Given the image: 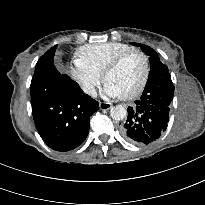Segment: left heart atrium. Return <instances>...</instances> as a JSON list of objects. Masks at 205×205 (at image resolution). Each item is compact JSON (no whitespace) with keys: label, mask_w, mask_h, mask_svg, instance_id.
Wrapping results in <instances>:
<instances>
[{"label":"left heart atrium","mask_w":205,"mask_h":205,"mask_svg":"<svg viewBox=\"0 0 205 205\" xmlns=\"http://www.w3.org/2000/svg\"><path fill=\"white\" fill-rule=\"evenodd\" d=\"M103 92L107 97L110 98H118L121 97V94L118 90H116L113 86L108 83L104 84Z\"/></svg>","instance_id":"39dd6f15"}]
</instances>
